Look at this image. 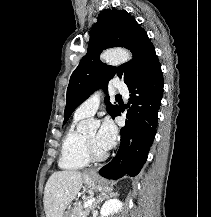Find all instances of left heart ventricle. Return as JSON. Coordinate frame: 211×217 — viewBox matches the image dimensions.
<instances>
[{"label": "left heart ventricle", "mask_w": 211, "mask_h": 217, "mask_svg": "<svg viewBox=\"0 0 211 217\" xmlns=\"http://www.w3.org/2000/svg\"><path fill=\"white\" fill-rule=\"evenodd\" d=\"M96 136H97V132L96 130L90 131L87 134H85V137L88 139V141L92 144L93 148L98 151V152H103L105 150H103L102 148H100L96 142Z\"/></svg>", "instance_id": "obj_1"}]
</instances>
